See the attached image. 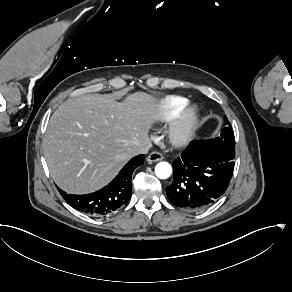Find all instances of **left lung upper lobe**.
<instances>
[{
	"mask_svg": "<svg viewBox=\"0 0 292 292\" xmlns=\"http://www.w3.org/2000/svg\"><path fill=\"white\" fill-rule=\"evenodd\" d=\"M224 121L228 126L222 129L221 135L214 139L205 140L203 145L224 151L229 154H235L234 132L226 116H224Z\"/></svg>",
	"mask_w": 292,
	"mask_h": 292,
	"instance_id": "5c2ea615",
	"label": "left lung upper lobe"
}]
</instances>
